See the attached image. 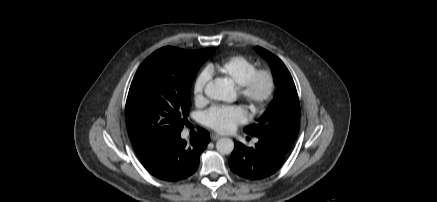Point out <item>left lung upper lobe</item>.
Wrapping results in <instances>:
<instances>
[{
	"label": "left lung upper lobe",
	"mask_w": 437,
	"mask_h": 202,
	"mask_svg": "<svg viewBox=\"0 0 437 202\" xmlns=\"http://www.w3.org/2000/svg\"><path fill=\"white\" fill-rule=\"evenodd\" d=\"M256 51L270 64L277 90L257 123L245 127L244 131L287 153L295 139L301 114L296 87L290 72L278 57L261 47H256Z\"/></svg>",
	"instance_id": "5c2ea615"
}]
</instances>
